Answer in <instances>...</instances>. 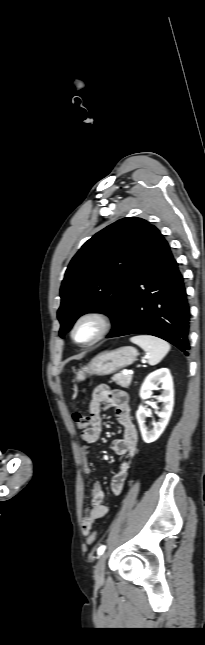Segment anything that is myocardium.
<instances>
[{"label":"myocardium","instance_id":"1","mask_svg":"<svg viewBox=\"0 0 205 645\" xmlns=\"http://www.w3.org/2000/svg\"><path fill=\"white\" fill-rule=\"evenodd\" d=\"M93 322L96 327V333L88 340L81 341L76 337V333L81 324ZM111 329V320L107 314L101 311H87L82 313L73 323L70 330V337L78 345L90 346L104 338Z\"/></svg>","mask_w":205,"mask_h":645}]
</instances>
